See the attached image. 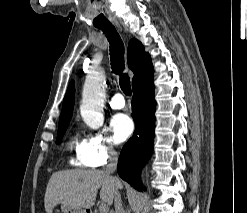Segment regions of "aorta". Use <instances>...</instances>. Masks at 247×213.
<instances>
[{"instance_id": "obj_1", "label": "aorta", "mask_w": 247, "mask_h": 213, "mask_svg": "<svg viewBox=\"0 0 247 213\" xmlns=\"http://www.w3.org/2000/svg\"><path fill=\"white\" fill-rule=\"evenodd\" d=\"M105 100V74L98 70L87 75L80 106L81 116L92 129L103 125V106Z\"/></svg>"}]
</instances>
